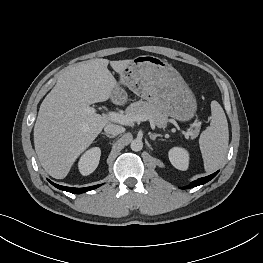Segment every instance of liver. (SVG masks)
Here are the masks:
<instances>
[{
    "mask_svg": "<svg viewBox=\"0 0 263 263\" xmlns=\"http://www.w3.org/2000/svg\"><path fill=\"white\" fill-rule=\"evenodd\" d=\"M131 61L88 60L59 76L40 105L34 127L35 150L50 176L65 178L77 157L107 125L105 117L86 113L85 108L108 100L117 86L108 64L121 75Z\"/></svg>",
    "mask_w": 263,
    "mask_h": 263,
    "instance_id": "6515ba94",
    "label": "liver"
}]
</instances>
